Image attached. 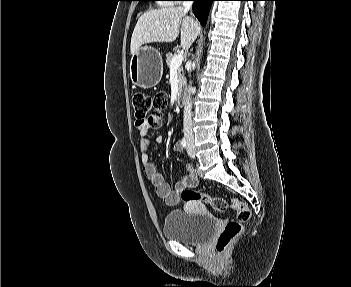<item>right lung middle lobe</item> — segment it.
Wrapping results in <instances>:
<instances>
[{
  "label": "right lung middle lobe",
  "instance_id": "dd1d6c3e",
  "mask_svg": "<svg viewBox=\"0 0 351 287\" xmlns=\"http://www.w3.org/2000/svg\"><path fill=\"white\" fill-rule=\"evenodd\" d=\"M138 1H154V0H138Z\"/></svg>",
  "mask_w": 351,
  "mask_h": 287
}]
</instances>
